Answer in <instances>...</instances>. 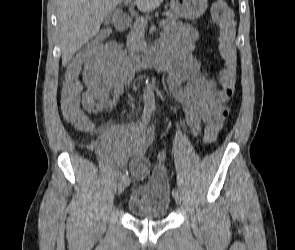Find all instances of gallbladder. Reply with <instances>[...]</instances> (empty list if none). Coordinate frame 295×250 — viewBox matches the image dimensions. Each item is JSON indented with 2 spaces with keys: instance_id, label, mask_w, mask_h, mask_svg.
<instances>
[{
  "instance_id": "obj_1",
  "label": "gallbladder",
  "mask_w": 295,
  "mask_h": 250,
  "mask_svg": "<svg viewBox=\"0 0 295 250\" xmlns=\"http://www.w3.org/2000/svg\"><path fill=\"white\" fill-rule=\"evenodd\" d=\"M112 17H113L112 13H109V14L106 16V18L104 19L103 23H104L105 25H108V24L111 22Z\"/></svg>"
}]
</instances>
